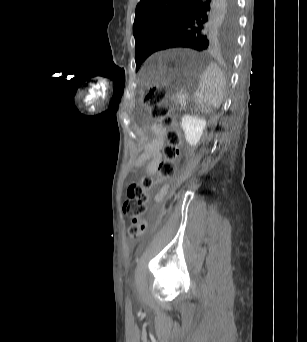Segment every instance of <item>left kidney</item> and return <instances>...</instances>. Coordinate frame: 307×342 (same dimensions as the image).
<instances>
[{
  "mask_svg": "<svg viewBox=\"0 0 307 342\" xmlns=\"http://www.w3.org/2000/svg\"><path fill=\"white\" fill-rule=\"evenodd\" d=\"M206 126L204 118H197V116H183L181 118V128L185 134V140L189 146H196L198 144Z\"/></svg>",
  "mask_w": 307,
  "mask_h": 342,
  "instance_id": "left-kidney-1",
  "label": "left kidney"
}]
</instances>
